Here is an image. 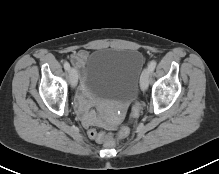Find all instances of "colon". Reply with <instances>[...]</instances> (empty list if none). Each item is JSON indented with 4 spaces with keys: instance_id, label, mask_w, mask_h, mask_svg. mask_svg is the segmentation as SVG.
<instances>
[{
    "instance_id": "1",
    "label": "colon",
    "mask_w": 219,
    "mask_h": 174,
    "mask_svg": "<svg viewBox=\"0 0 219 174\" xmlns=\"http://www.w3.org/2000/svg\"><path fill=\"white\" fill-rule=\"evenodd\" d=\"M141 113V105L139 102H134L131 108V118L136 119ZM130 134V128L128 126H122L118 131L117 138L123 139ZM88 136L100 143H104L107 147L112 148L115 144V138L111 135L103 132H98L94 129L88 130Z\"/></svg>"
}]
</instances>
